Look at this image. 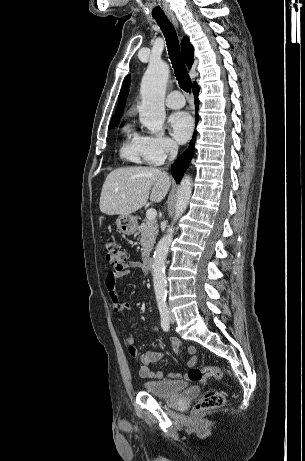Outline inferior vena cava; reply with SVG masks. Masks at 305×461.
Instances as JSON below:
<instances>
[{
	"mask_svg": "<svg viewBox=\"0 0 305 461\" xmlns=\"http://www.w3.org/2000/svg\"><path fill=\"white\" fill-rule=\"evenodd\" d=\"M168 152L170 154L169 160L173 161L178 153V145L175 143H170L168 146Z\"/></svg>",
	"mask_w": 305,
	"mask_h": 461,
	"instance_id": "obj_1",
	"label": "inferior vena cava"
}]
</instances>
